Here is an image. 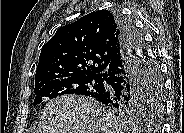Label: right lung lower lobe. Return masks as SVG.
Masks as SVG:
<instances>
[{
    "instance_id": "1",
    "label": "right lung lower lobe",
    "mask_w": 184,
    "mask_h": 133,
    "mask_svg": "<svg viewBox=\"0 0 184 133\" xmlns=\"http://www.w3.org/2000/svg\"><path fill=\"white\" fill-rule=\"evenodd\" d=\"M121 28V48L110 61L102 74L105 81L97 101L106 106H113L121 101L142 100L150 83V52L133 24L120 14H115Z\"/></svg>"
}]
</instances>
